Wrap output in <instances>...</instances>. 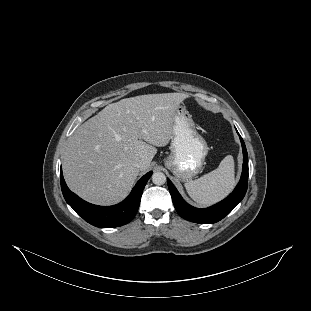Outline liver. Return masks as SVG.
Instances as JSON below:
<instances>
[{
    "label": "liver",
    "mask_w": 311,
    "mask_h": 311,
    "mask_svg": "<svg viewBox=\"0 0 311 311\" xmlns=\"http://www.w3.org/2000/svg\"><path fill=\"white\" fill-rule=\"evenodd\" d=\"M186 98L177 92L124 98L80 125L64 151L68 187L97 205L123 200L149 169L156 147L170 142L176 110ZM136 159L143 161L140 168L133 166Z\"/></svg>",
    "instance_id": "6515ba94"
}]
</instances>
